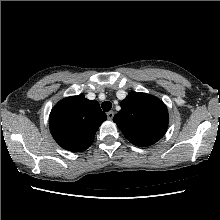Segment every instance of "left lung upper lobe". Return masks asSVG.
Returning <instances> with one entry per match:
<instances>
[{"mask_svg":"<svg viewBox=\"0 0 220 220\" xmlns=\"http://www.w3.org/2000/svg\"><path fill=\"white\" fill-rule=\"evenodd\" d=\"M113 121L128 141L146 147L163 137L169 117L167 107L157 97L131 92L121 102V110Z\"/></svg>","mask_w":220,"mask_h":220,"instance_id":"1","label":"left lung upper lobe"}]
</instances>
